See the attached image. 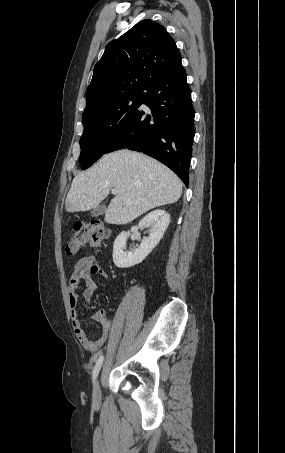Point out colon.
Listing matches in <instances>:
<instances>
[{
    "label": "colon",
    "instance_id": "5ec220e1",
    "mask_svg": "<svg viewBox=\"0 0 285 453\" xmlns=\"http://www.w3.org/2000/svg\"><path fill=\"white\" fill-rule=\"evenodd\" d=\"M107 236L108 229L99 220L77 223L66 244V251L70 255H75L86 245L97 248Z\"/></svg>",
    "mask_w": 285,
    "mask_h": 453
}]
</instances>
